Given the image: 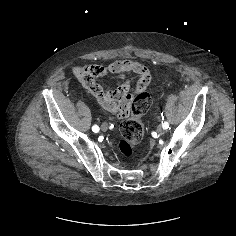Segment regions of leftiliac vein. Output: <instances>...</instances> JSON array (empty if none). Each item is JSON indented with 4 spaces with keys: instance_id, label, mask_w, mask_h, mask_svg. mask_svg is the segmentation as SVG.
<instances>
[{
    "instance_id": "left-iliac-vein-1",
    "label": "left iliac vein",
    "mask_w": 236,
    "mask_h": 236,
    "mask_svg": "<svg viewBox=\"0 0 236 236\" xmlns=\"http://www.w3.org/2000/svg\"><path fill=\"white\" fill-rule=\"evenodd\" d=\"M163 131H164V128H163V127L159 126V127L157 128V132H158V133H163Z\"/></svg>"
}]
</instances>
